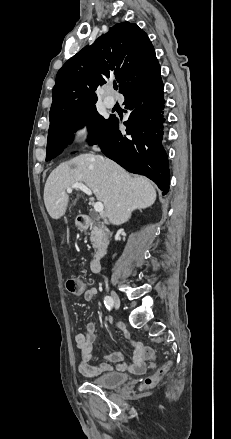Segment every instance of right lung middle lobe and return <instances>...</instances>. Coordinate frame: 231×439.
Here are the masks:
<instances>
[{
  "instance_id": "right-lung-middle-lobe-1",
  "label": "right lung middle lobe",
  "mask_w": 231,
  "mask_h": 439,
  "mask_svg": "<svg viewBox=\"0 0 231 439\" xmlns=\"http://www.w3.org/2000/svg\"><path fill=\"white\" fill-rule=\"evenodd\" d=\"M111 124V118L104 119L96 107L50 124L48 131L46 161H50L66 148L78 128L88 126L90 144H97Z\"/></svg>"
}]
</instances>
